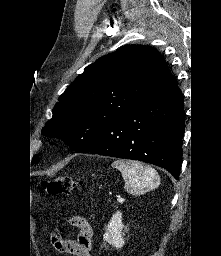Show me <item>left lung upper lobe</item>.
Here are the masks:
<instances>
[{"instance_id": "1", "label": "left lung upper lobe", "mask_w": 221, "mask_h": 256, "mask_svg": "<svg viewBox=\"0 0 221 256\" xmlns=\"http://www.w3.org/2000/svg\"><path fill=\"white\" fill-rule=\"evenodd\" d=\"M171 78L155 49L142 45L120 48L86 67L67 87L42 133L61 138L76 151ZM37 162L36 156L33 163Z\"/></svg>"}]
</instances>
